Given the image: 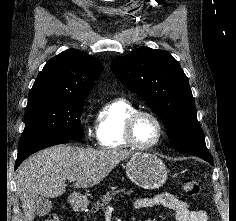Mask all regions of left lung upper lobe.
<instances>
[{
    "instance_id": "left-lung-upper-lobe-1",
    "label": "left lung upper lobe",
    "mask_w": 236,
    "mask_h": 221,
    "mask_svg": "<svg viewBox=\"0 0 236 221\" xmlns=\"http://www.w3.org/2000/svg\"><path fill=\"white\" fill-rule=\"evenodd\" d=\"M111 70L161 118L177 151L208 152L188 78L170 53L142 46L113 61Z\"/></svg>"
}]
</instances>
